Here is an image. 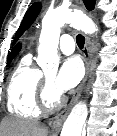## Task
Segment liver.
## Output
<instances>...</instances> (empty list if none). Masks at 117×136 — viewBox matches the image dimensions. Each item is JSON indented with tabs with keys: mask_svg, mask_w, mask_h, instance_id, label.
I'll return each mask as SVG.
<instances>
[{
	"mask_svg": "<svg viewBox=\"0 0 117 136\" xmlns=\"http://www.w3.org/2000/svg\"><path fill=\"white\" fill-rule=\"evenodd\" d=\"M4 136H47L48 129L35 121L6 119L2 123Z\"/></svg>",
	"mask_w": 117,
	"mask_h": 136,
	"instance_id": "liver-1",
	"label": "liver"
}]
</instances>
